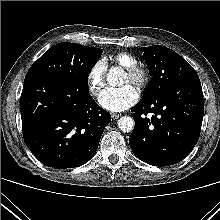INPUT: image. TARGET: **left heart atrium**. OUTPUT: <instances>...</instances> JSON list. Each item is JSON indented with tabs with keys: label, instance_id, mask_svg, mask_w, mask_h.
I'll return each instance as SVG.
<instances>
[{
	"label": "left heart atrium",
	"instance_id": "1",
	"mask_svg": "<svg viewBox=\"0 0 220 220\" xmlns=\"http://www.w3.org/2000/svg\"><path fill=\"white\" fill-rule=\"evenodd\" d=\"M139 98L138 91L130 84L122 87H108L99 96V104L106 110L120 112L134 105Z\"/></svg>",
	"mask_w": 220,
	"mask_h": 220
}]
</instances>
